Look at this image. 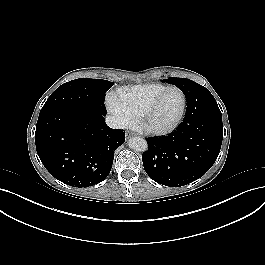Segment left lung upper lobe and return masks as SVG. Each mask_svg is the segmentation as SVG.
Returning a JSON list of instances; mask_svg holds the SVG:
<instances>
[{
	"label": "left lung upper lobe",
	"instance_id": "5c2ea615",
	"mask_svg": "<svg viewBox=\"0 0 265 265\" xmlns=\"http://www.w3.org/2000/svg\"><path fill=\"white\" fill-rule=\"evenodd\" d=\"M164 82L170 83V84H174L176 85L178 88L181 89V91L184 93L188 92L191 90V88L194 87H201L204 88L206 94H207V99H208V103L212 104V105H217L216 100L214 99V97L212 96V94L203 86L199 85L198 83L190 80V79H186V78H168V79H164Z\"/></svg>",
	"mask_w": 265,
	"mask_h": 265
}]
</instances>
